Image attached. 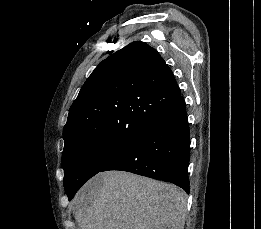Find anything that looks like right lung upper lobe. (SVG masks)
Wrapping results in <instances>:
<instances>
[{
    "mask_svg": "<svg viewBox=\"0 0 261 229\" xmlns=\"http://www.w3.org/2000/svg\"><path fill=\"white\" fill-rule=\"evenodd\" d=\"M180 96L159 53L136 41L103 60L82 86L63 129L80 140L131 143Z\"/></svg>",
    "mask_w": 261,
    "mask_h": 229,
    "instance_id": "1",
    "label": "right lung upper lobe"
}]
</instances>
